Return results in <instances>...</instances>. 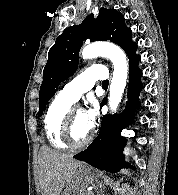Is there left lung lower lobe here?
Instances as JSON below:
<instances>
[{
	"instance_id": "obj_1",
	"label": "left lung lower lobe",
	"mask_w": 178,
	"mask_h": 195,
	"mask_svg": "<svg viewBox=\"0 0 178 195\" xmlns=\"http://www.w3.org/2000/svg\"><path fill=\"white\" fill-rule=\"evenodd\" d=\"M139 61L140 57L137 55L129 59V101L127 102L126 109L120 115L114 114L103 116L101 129L97 138L86 150L75 155L74 158L112 173L119 171L121 168L131 167L130 164L122 161V151L126 140L121 136V131L128 126L133 119V110L138 103V95L142 89L140 83V76L142 73L137 67ZM105 103L106 99L102 101L101 107L105 105Z\"/></svg>"
}]
</instances>
